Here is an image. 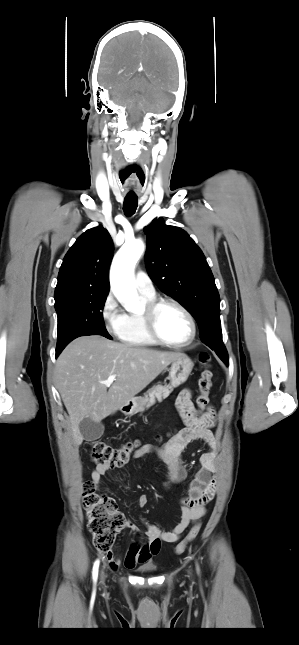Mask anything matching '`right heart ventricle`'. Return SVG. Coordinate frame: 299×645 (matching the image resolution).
I'll list each match as a JSON object with an SVG mask.
<instances>
[{"label": "right heart ventricle", "instance_id": "1", "mask_svg": "<svg viewBox=\"0 0 299 645\" xmlns=\"http://www.w3.org/2000/svg\"><path fill=\"white\" fill-rule=\"evenodd\" d=\"M141 294L144 305L155 299V296ZM142 310L143 308L124 314L123 325L117 335L123 343L136 347L154 346L157 344L146 330Z\"/></svg>", "mask_w": 299, "mask_h": 645}]
</instances>
